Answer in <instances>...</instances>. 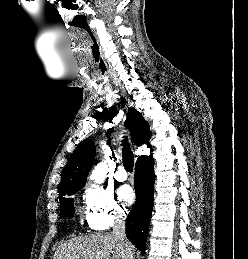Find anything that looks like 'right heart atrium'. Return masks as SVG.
<instances>
[{"instance_id": "obj_1", "label": "right heart atrium", "mask_w": 248, "mask_h": 259, "mask_svg": "<svg viewBox=\"0 0 248 259\" xmlns=\"http://www.w3.org/2000/svg\"><path fill=\"white\" fill-rule=\"evenodd\" d=\"M85 216L90 228L108 229L126 216L125 209L113 192L98 185H89L84 192Z\"/></svg>"}]
</instances>
